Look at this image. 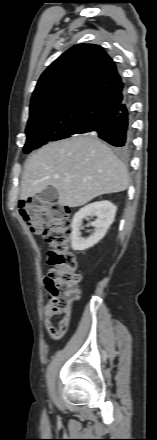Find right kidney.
<instances>
[{"label": "right kidney", "mask_w": 157, "mask_h": 440, "mask_svg": "<svg viewBox=\"0 0 157 440\" xmlns=\"http://www.w3.org/2000/svg\"><path fill=\"white\" fill-rule=\"evenodd\" d=\"M117 207L110 201L94 202L81 208L73 217L71 245L75 251H83L97 244L106 234L110 225L114 222ZM96 216L91 223L95 227L94 233L88 238L80 237V227L83 219Z\"/></svg>", "instance_id": "ca27d5eb"}]
</instances>
